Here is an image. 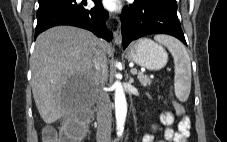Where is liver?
Returning <instances> with one entry per match:
<instances>
[{
    "mask_svg": "<svg viewBox=\"0 0 227 142\" xmlns=\"http://www.w3.org/2000/svg\"><path fill=\"white\" fill-rule=\"evenodd\" d=\"M96 47L104 53L111 49L105 40L71 26L53 27L37 37L31 58V86L46 124L70 114L71 98L81 85H94L92 63Z\"/></svg>",
    "mask_w": 227,
    "mask_h": 142,
    "instance_id": "1",
    "label": "liver"
}]
</instances>
